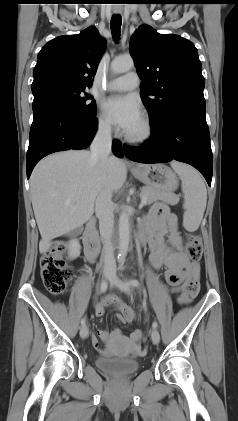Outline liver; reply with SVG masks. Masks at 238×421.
<instances>
[{"instance_id": "6515ba94", "label": "liver", "mask_w": 238, "mask_h": 421, "mask_svg": "<svg viewBox=\"0 0 238 421\" xmlns=\"http://www.w3.org/2000/svg\"><path fill=\"white\" fill-rule=\"evenodd\" d=\"M126 175V165L120 159L110 156L102 167L91 161L87 150L58 152L41 160L30 178L32 206L42 238L40 253L49 250L54 238L83 226L94 213L99 191L107 187L117 192Z\"/></svg>"}]
</instances>
